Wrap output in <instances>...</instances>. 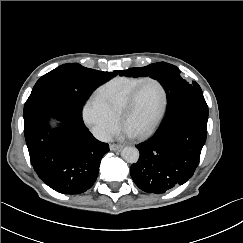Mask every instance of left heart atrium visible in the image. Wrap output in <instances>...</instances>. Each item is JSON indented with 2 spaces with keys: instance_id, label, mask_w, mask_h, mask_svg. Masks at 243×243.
<instances>
[{
  "instance_id": "obj_1",
  "label": "left heart atrium",
  "mask_w": 243,
  "mask_h": 243,
  "mask_svg": "<svg viewBox=\"0 0 243 243\" xmlns=\"http://www.w3.org/2000/svg\"><path fill=\"white\" fill-rule=\"evenodd\" d=\"M122 135L128 136V137H132V136L135 135V133L133 131H131L130 129H128V128L125 127L123 129Z\"/></svg>"
}]
</instances>
